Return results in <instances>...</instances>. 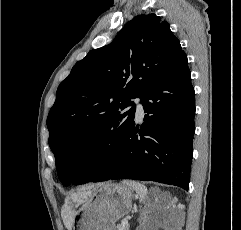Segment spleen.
Wrapping results in <instances>:
<instances>
[{
  "mask_svg": "<svg viewBox=\"0 0 241 230\" xmlns=\"http://www.w3.org/2000/svg\"><path fill=\"white\" fill-rule=\"evenodd\" d=\"M123 183L125 185L131 187L132 189H134L137 192V194L140 198V201H143L145 199V197L147 196L148 190L143 184H141L139 182H135V181H124Z\"/></svg>",
  "mask_w": 241,
  "mask_h": 230,
  "instance_id": "1",
  "label": "spleen"
}]
</instances>
